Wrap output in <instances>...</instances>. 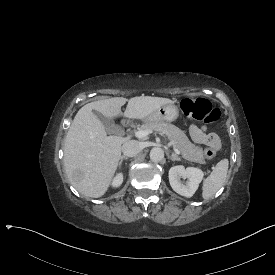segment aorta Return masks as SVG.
Here are the masks:
<instances>
[{
	"label": "aorta",
	"mask_w": 275,
	"mask_h": 275,
	"mask_svg": "<svg viewBox=\"0 0 275 275\" xmlns=\"http://www.w3.org/2000/svg\"><path fill=\"white\" fill-rule=\"evenodd\" d=\"M164 158V151L159 147H154L150 151V159L153 162H159Z\"/></svg>",
	"instance_id": "obj_1"
}]
</instances>
